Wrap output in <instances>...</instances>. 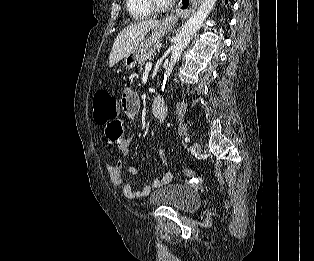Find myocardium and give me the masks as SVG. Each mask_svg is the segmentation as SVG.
Listing matches in <instances>:
<instances>
[{"label":"myocardium","mask_w":314,"mask_h":261,"mask_svg":"<svg viewBox=\"0 0 314 261\" xmlns=\"http://www.w3.org/2000/svg\"><path fill=\"white\" fill-rule=\"evenodd\" d=\"M150 7L156 12H165L172 7V1L162 3L158 0H147Z\"/></svg>","instance_id":"f54148a6"}]
</instances>
